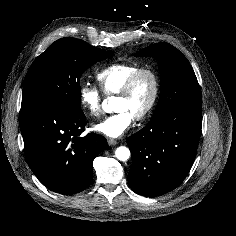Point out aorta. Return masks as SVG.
Segmentation results:
<instances>
[{
	"mask_svg": "<svg viewBox=\"0 0 236 236\" xmlns=\"http://www.w3.org/2000/svg\"><path fill=\"white\" fill-rule=\"evenodd\" d=\"M103 108L105 111L111 112L113 110L111 101H108V105L104 104ZM115 156L120 161H126L130 157V150L125 146H120L116 149Z\"/></svg>",
	"mask_w": 236,
	"mask_h": 236,
	"instance_id": "aorta-1",
	"label": "aorta"
}]
</instances>
